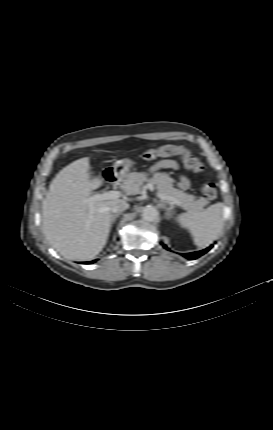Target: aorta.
Masks as SVG:
<instances>
[{"instance_id":"obj_1","label":"aorta","mask_w":273,"mask_h":430,"mask_svg":"<svg viewBox=\"0 0 273 430\" xmlns=\"http://www.w3.org/2000/svg\"><path fill=\"white\" fill-rule=\"evenodd\" d=\"M158 215V210L151 205L146 206L142 213L143 219L149 222L155 221L158 218Z\"/></svg>"}]
</instances>
